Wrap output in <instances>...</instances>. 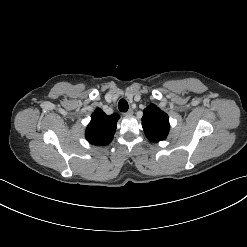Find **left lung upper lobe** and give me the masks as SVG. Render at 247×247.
<instances>
[{
    "instance_id": "obj_1",
    "label": "left lung upper lobe",
    "mask_w": 247,
    "mask_h": 247,
    "mask_svg": "<svg viewBox=\"0 0 247 247\" xmlns=\"http://www.w3.org/2000/svg\"><path fill=\"white\" fill-rule=\"evenodd\" d=\"M142 127L150 141H162L166 139L169 133V117L156 105L150 104L143 111Z\"/></svg>"
}]
</instances>
